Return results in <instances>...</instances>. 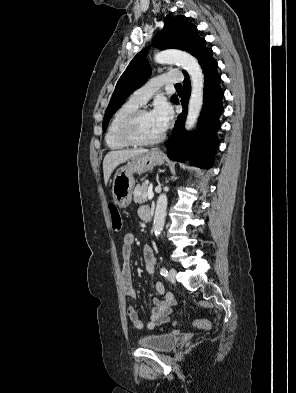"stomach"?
Instances as JSON below:
<instances>
[{
	"label": "stomach",
	"instance_id": "stomach-1",
	"mask_svg": "<svg viewBox=\"0 0 296 393\" xmlns=\"http://www.w3.org/2000/svg\"><path fill=\"white\" fill-rule=\"evenodd\" d=\"M165 163V156L157 151H150L133 157L125 166L117 169L112 182L114 202L120 208L129 206L135 186L134 173H144L157 165Z\"/></svg>",
	"mask_w": 296,
	"mask_h": 393
}]
</instances>
